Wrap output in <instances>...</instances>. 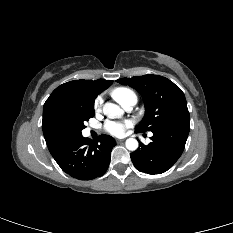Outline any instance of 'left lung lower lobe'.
Returning <instances> with one entry per match:
<instances>
[{"label": "left lung lower lobe", "instance_id": "left-lung-lower-lobe-1", "mask_svg": "<svg viewBox=\"0 0 233 233\" xmlns=\"http://www.w3.org/2000/svg\"><path fill=\"white\" fill-rule=\"evenodd\" d=\"M190 130V123H179L154 131L149 145L131 153L135 168L148 174L169 170L181 156Z\"/></svg>", "mask_w": 233, "mask_h": 233}]
</instances>
